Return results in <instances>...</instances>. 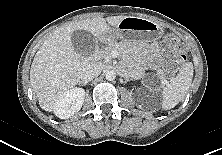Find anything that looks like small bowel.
<instances>
[{
  "label": "small bowel",
  "mask_w": 222,
  "mask_h": 155,
  "mask_svg": "<svg viewBox=\"0 0 222 155\" xmlns=\"http://www.w3.org/2000/svg\"><path fill=\"white\" fill-rule=\"evenodd\" d=\"M159 57V47L157 44H152L150 47L149 62L151 65L155 66L157 64Z\"/></svg>",
  "instance_id": "c3829d8e"
}]
</instances>
